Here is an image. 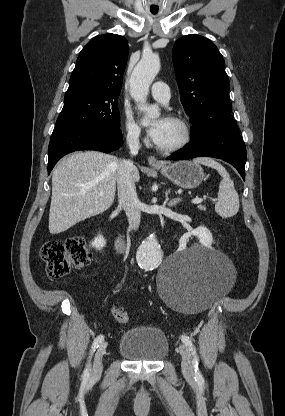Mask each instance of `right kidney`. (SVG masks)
<instances>
[{
    "instance_id": "1",
    "label": "right kidney",
    "mask_w": 285,
    "mask_h": 416,
    "mask_svg": "<svg viewBox=\"0 0 285 416\" xmlns=\"http://www.w3.org/2000/svg\"><path fill=\"white\" fill-rule=\"evenodd\" d=\"M92 248H96V250H101V248H104L106 246V240H104L103 236H97V238H94L91 242Z\"/></svg>"
}]
</instances>
